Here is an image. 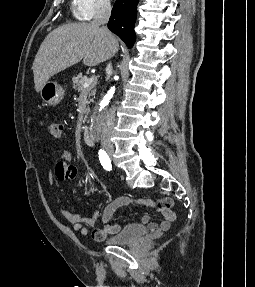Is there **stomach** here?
<instances>
[{"label":"stomach","instance_id":"obj_1","mask_svg":"<svg viewBox=\"0 0 255 287\" xmlns=\"http://www.w3.org/2000/svg\"><path fill=\"white\" fill-rule=\"evenodd\" d=\"M40 96L48 106H57L64 98V90L57 82H45L40 90Z\"/></svg>","mask_w":255,"mask_h":287}]
</instances>
